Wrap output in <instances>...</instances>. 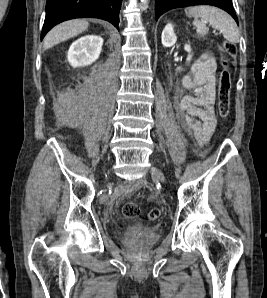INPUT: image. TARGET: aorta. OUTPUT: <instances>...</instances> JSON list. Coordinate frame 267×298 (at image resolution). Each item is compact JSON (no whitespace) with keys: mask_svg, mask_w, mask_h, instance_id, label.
Returning <instances> with one entry per match:
<instances>
[{"mask_svg":"<svg viewBox=\"0 0 267 298\" xmlns=\"http://www.w3.org/2000/svg\"><path fill=\"white\" fill-rule=\"evenodd\" d=\"M142 4L146 5L148 3V0H141Z\"/></svg>","mask_w":267,"mask_h":298,"instance_id":"aorta-1","label":"aorta"}]
</instances>
